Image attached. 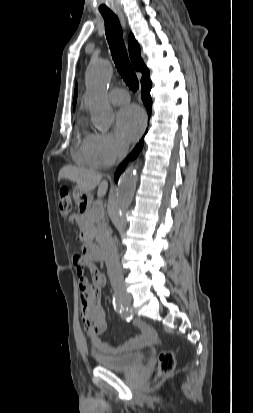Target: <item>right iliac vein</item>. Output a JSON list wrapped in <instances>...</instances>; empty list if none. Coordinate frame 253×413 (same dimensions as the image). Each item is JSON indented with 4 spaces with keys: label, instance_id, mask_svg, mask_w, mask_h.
I'll use <instances>...</instances> for the list:
<instances>
[{
    "label": "right iliac vein",
    "instance_id": "63e3f726",
    "mask_svg": "<svg viewBox=\"0 0 253 413\" xmlns=\"http://www.w3.org/2000/svg\"><path fill=\"white\" fill-rule=\"evenodd\" d=\"M130 301H131V298H130V297H128V296H121V302H122L124 305L129 304Z\"/></svg>",
    "mask_w": 253,
    "mask_h": 413
}]
</instances>
